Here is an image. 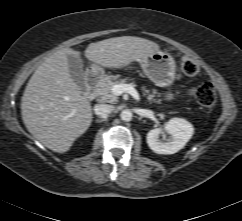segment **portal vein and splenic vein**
<instances>
[{
	"label": "portal vein and splenic vein",
	"mask_w": 242,
	"mask_h": 221,
	"mask_svg": "<svg viewBox=\"0 0 242 221\" xmlns=\"http://www.w3.org/2000/svg\"><path fill=\"white\" fill-rule=\"evenodd\" d=\"M112 91L115 95L119 96L123 93H129L135 99H138V93L130 84H116L113 86Z\"/></svg>",
	"instance_id": "portal-vein-and-splenic-vein-1"
}]
</instances>
